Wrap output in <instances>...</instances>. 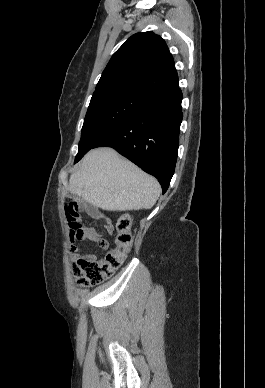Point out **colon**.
Segmentation results:
<instances>
[{"label":"colon","mask_w":265,"mask_h":388,"mask_svg":"<svg viewBox=\"0 0 265 388\" xmlns=\"http://www.w3.org/2000/svg\"><path fill=\"white\" fill-rule=\"evenodd\" d=\"M79 205L69 201L65 205V214L70 227L71 241H80L88 237V229L79 221ZM134 220L129 214H122L116 222L115 246L109 249L100 260L76 258L72 270L77 283L82 287L101 284L111 277L125 260L133 242Z\"/></svg>","instance_id":"obj_1"}]
</instances>
